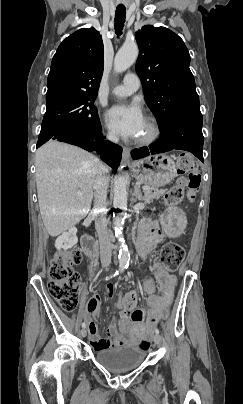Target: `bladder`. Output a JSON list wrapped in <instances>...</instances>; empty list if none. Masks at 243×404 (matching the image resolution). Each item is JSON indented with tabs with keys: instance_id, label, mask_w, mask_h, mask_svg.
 Instances as JSON below:
<instances>
[{
	"instance_id": "1",
	"label": "bladder",
	"mask_w": 243,
	"mask_h": 404,
	"mask_svg": "<svg viewBox=\"0 0 243 404\" xmlns=\"http://www.w3.org/2000/svg\"><path fill=\"white\" fill-rule=\"evenodd\" d=\"M146 355L135 346H121L101 349L95 353L96 362L112 373L132 371L143 364Z\"/></svg>"
}]
</instances>
